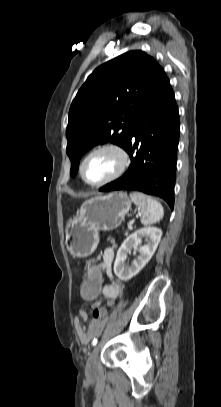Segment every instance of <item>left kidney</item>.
<instances>
[{"label":"left kidney","instance_id":"obj_1","mask_svg":"<svg viewBox=\"0 0 221 407\" xmlns=\"http://www.w3.org/2000/svg\"><path fill=\"white\" fill-rule=\"evenodd\" d=\"M161 236V229L151 226L140 228L128 236L117 251L114 262L115 275L121 281H128L136 276L152 258L161 240ZM142 238H145L147 244L139 246ZM132 249H139L140 255L136 260L132 261L130 266H125L124 262L127 259V254Z\"/></svg>","mask_w":221,"mask_h":407}]
</instances>
